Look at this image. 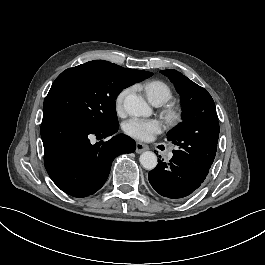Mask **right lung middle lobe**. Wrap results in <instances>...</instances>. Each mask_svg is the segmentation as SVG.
<instances>
[{
	"label": "right lung middle lobe",
	"instance_id": "dd1d6c3e",
	"mask_svg": "<svg viewBox=\"0 0 265 265\" xmlns=\"http://www.w3.org/2000/svg\"><path fill=\"white\" fill-rule=\"evenodd\" d=\"M146 72L94 60L62 72L44 101L43 113L64 114L101 130L118 126L115 99L128 86L146 78Z\"/></svg>",
	"mask_w": 265,
	"mask_h": 265
}]
</instances>
